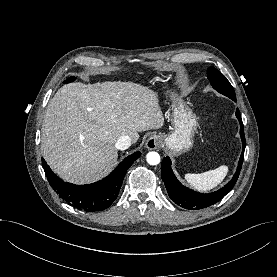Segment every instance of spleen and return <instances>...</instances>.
<instances>
[{"mask_svg": "<svg viewBox=\"0 0 277 277\" xmlns=\"http://www.w3.org/2000/svg\"><path fill=\"white\" fill-rule=\"evenodd\" d=\"M228 167L222 165L214 170H210L200 174H185L187 183L199 191H210L218 186L226 177Z\"/></svg>", "mask_w": 277, "mask_h": 277, "instance_id": "1", "label": "spleen"}]
</instances>
